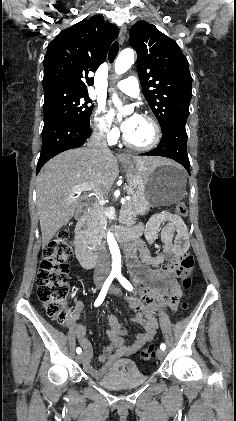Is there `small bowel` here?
Wrapping results in <instances>:
<instances>
[{
  "label": "small bowel",
  "mask_w": 236,
  "mask_h": 421,
  "mask_svg": "<svg viewBox=\"0 0 236 421\" xmlns=\"http://www.w3.org/2000/svg\"><path fill=\"white\" fill-rule=\"evenodd\" d=\"M165 222H167V224L164 226V228L162 230V233H161L162 238L165 241H169L174 237V235H176L177 236L176 246L178 248L179 256H182L188 249V230H187V227H186L185 223L183 222V220L179 216H177L175 214H172V213H169V212H162V213H159V214L153 216L146 223V225L138 224V225H135L131 228H134V229L138 230L140 232V235L144 232V234L146 236V239L149 242H153L156 239V237H157V235L160 231L161 225ZM131 302H132V305H133L134 308L139 309L140 304L138 303L137 300L131 299ZM82 307H83L82 303L77 302L76 305H75V311L76 312L81 311ZM147 317H148V321H149V324H150V327H151V331H150V334H149L148 338L144 342L150 341L152 339L153 334H154L155 329H156V323H155L154 319H152L148 315H147ZM109 324L111 326V329L118 328L121 332H123V329H122L121 325L118 323L117 319L114 316H111L109 318ZM70 329L72 331L76 330V329H80V330L83 331V327L81 325L76 324V323H72L70 325ZM85 340L86 341L80 342L85 349L83 361L85 360L86 355L88 353H89L90 358H91V348H90L89 343H88L86 338H85ZM138 346H140V345H138Z\"/></svg>",
  "instance_id": "obj_1"
}]
</instances>
